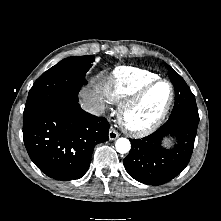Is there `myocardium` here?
<instances>
[{"instance_id": "1", "label": "myocardium", "mask_w": 221, "mask_h": 221, "mask_svg": "<svg viewBox=\"0 0 221 221\" xmlns=\"http://www.w3.org/2000/svg\"><path fill=\"white\" fill-rule=\"evenodd\" d=\"M160 83H167L170 87L169 97L160 110V112L148 123H138L134 120L135 113L143 106L146 102L148 95L150 92ZM175 98V89L173 84L163 78H157L154 81L147 84L145 87L141 89V91L127 104H125L120 110V121L122 126L126 131H128L132 135L142 136L148 134L155 129H157L161 123L164 121L165 117L170 111V108L173 104Z\"/></svg>"}]
</instances>
